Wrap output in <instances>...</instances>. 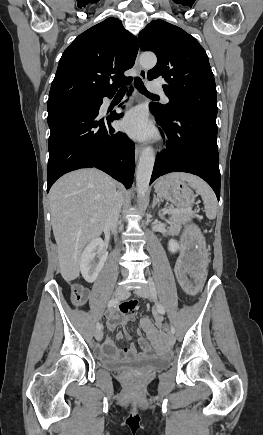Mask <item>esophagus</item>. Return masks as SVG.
<instances>
[{
    "label": "esophagus",
    "instance_id": "esophagus-1",
    "mask_svg": "<svg viewBox=\"0 0 263 435\" xmlns=\"http://www.w3.org/2000/svg\"><path fill=\"white\" fill-rule=\"evenodd\" d=\"M135 68H136V70L138 72L139 77L141 79H145L146 78V70H144L142 68V66L140 65V62H139V53H138V55L136 57V60H135ZM141 151H142V147L140 145L136 144L135 145V158L136 159H138Z\"/></svg>",
    "mask_w": 263,
    "mask_h": 435
}]
</instances>
